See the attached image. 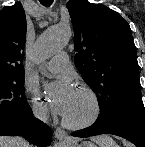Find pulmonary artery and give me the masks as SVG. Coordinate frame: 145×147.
<instances>
[{
  "label": "pulmonary artery",
  "mask_w": 145,
  "mask_h": 147,
  "mask_svg": "<svg viewBox=\"0 0 145 147\" xmlns=\"http://www.w3.org/2000/svg\"><path fill=\"white\" fill-rule=\"evenodd\" d=\"M68 63V55L65 52L56 54L46 64V68L52 73H60L66 67Z\"/></svg>",
  "instance_id": "obj_1"
}]
</instances>
